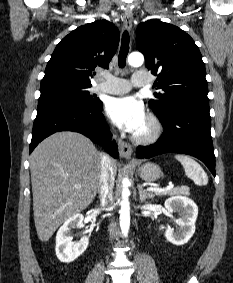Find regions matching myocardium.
Here are the masks:
<instances>
[{
    "mask_svg": "<svg viewBox=\"0 0 233 283\" xmlns=\"http://www.w3.org/2000/svg\"><path fill=\"white\" fill-rule=\"evenodd\" d=\"M146 119L149 122L150 129L144 134L135 133L133 141L140 145H151L157 142L163 133V125L160 119L153 113H148Z\"/></svg>",
    "mask_w": 233,
    "mask_h": 283,
    "instance_id": "f54148a6",
    "label": "myocardium"
}]
</instances>
